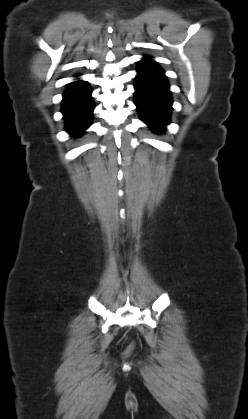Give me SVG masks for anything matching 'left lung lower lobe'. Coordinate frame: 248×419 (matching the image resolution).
<instances>
[{
	"label": "left lung lower lobe",
	"instance_id": "left-lung-lower-lobe-1",
	"mask_svg": "<svg viewBox=\"0 0 248 419\" xmlns=\"http://www.w3.org/2000/svg\"><path fill=\"white\" fill-rule=\"evenodd\" d=\"M135 83V104L140 118L156 131H164L172 110V99L164 71L152 60L138 63Z\"/></svg>",
	"mask_w": 248,
	"mask_h": 419
}]
</instances>
